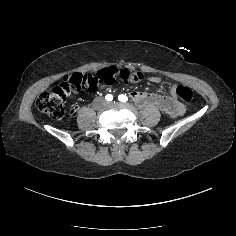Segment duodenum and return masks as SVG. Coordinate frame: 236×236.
Listing matches in <instances>:
<instances>
[{
    "label": "duodenum",
    "instance_id": "obj_1",
    "mask_svg": "<svg viewBox=\"0 0 236 236\" xmlns=\"http://www.w3.org/2000/svg\"><path fill=\"white\" fill-rule=\"evenodd\" d=\"M134 100L140 106L155 103L163 111L170 115H176L183 111V105L175 99L169 97H159L149 94H136Z\"/></svg>",
    "mask_w": 236,
    "mask_h": 236
}]
</instances>
